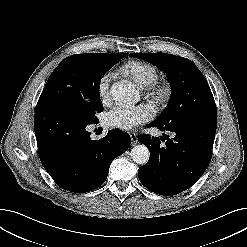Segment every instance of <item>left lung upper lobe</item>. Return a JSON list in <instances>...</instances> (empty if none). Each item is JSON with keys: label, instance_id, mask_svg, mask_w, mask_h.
<instances>
[{"label": "left lung upper lobe", "instance_id": "obj_1", "mask_svg": "<svg viewBox=\"0 0 247 247\" xmlns=\"http://www.w3.org/2000/svg\"><path fill=\"white\" fill-rule=\"evenodd\" d=\"M157 66L167 74L172 94L166 109L154 121L171 127L180 123L217 124V111L210 87L189 59L166 53H131Z\"/></svg>", "mask_w": 247, "mask_h": 247}]
</instances>
